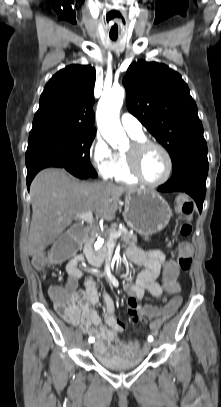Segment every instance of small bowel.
Wrapping results in <instances>:
<instances>
[{"instance_id": "c3829d8e", "label": "small bowel", "mask_w": 221, "mask_h": 407, "mask_svg": "<svg viewBox=\"0 0 221 407\" xmlns=\"http://www.w3.org/2000/svg\"><path fill=\"white\" fill-rule=\"evenodd\" d=\"M127 255L134 264L142 267L136 282L126 281L124 283V289L128 295V312L133 322H138L136 315L140 312L137 309L142 306L139 301L144 297L145 293H149L156 298L162 297L166 292L171 296L179 295L180 285L164 286L162 282L158 281L159 277H162L163 267L167 259L165 253L161 250H142L131 247L127 250ZM83 262L84 256L82 254L75 255L67 262L66 269L69 274L67 286L75 290L78 300L70 312L62 315V317L69 324L80 328L86 335L94 338V348L100 354L108 356L122 355L127 358H135L143 354L146 345L142 347L139 343H127L118 338V334L122 333L126 326L116 318L114 301L107 293L103 296L105 326H101L100 316L95 310V307L100 304L99 286L94 279L83 277L80 268ZM80 282L83 284V290H78ZM163 302L168 304L166 299H163ZM164 319L167 318L154 320L150 325V330L156 332Z\"/></svg>"}]
</instances>
